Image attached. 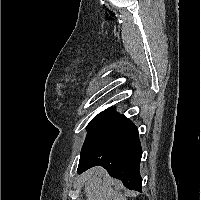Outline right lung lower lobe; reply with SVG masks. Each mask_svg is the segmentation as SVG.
<instances>
[{
	"instance_id": "right-lung-lower-lobe-1",
	"label": "right lung lower lobe",
	"mask_w": 201,
	"mask_h": 200,
	"mask_svg": "<svg viewBox=\"0 0 201 200\" xmlns=\"http://www.w3.org/2000/svg\"><path fill=\"white\" fill-rule=\"evenodd\" d=\"M142 148L138 129L124 115L115 112L88 133L81 149L78 172L100 165L130 190L142 191L139 168Z\"/></svg>"
}]
</instances>
